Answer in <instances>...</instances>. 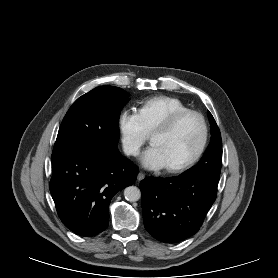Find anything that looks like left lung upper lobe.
<instances>
[{"label": "left lung upper lobe", "instance_id": "5c2ea615", "mask_svg": "<svg viewBox=\"0 0 278 278\" xmlns=\"http://www.w3.org/2000/svg\"><path fill=\"white\" fill-rule=\"evenodd\" d=\"M208 115L211 123V142L200 162L182 175L219 181L222 164V140L215 119L210 112Z\"/></svg>", "mask_w": 278, "mask_h": 278}]
</instances>
